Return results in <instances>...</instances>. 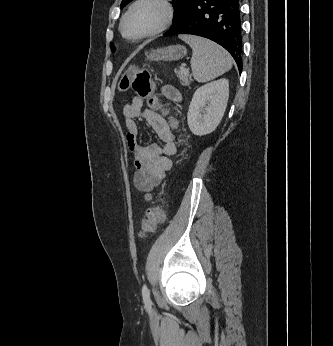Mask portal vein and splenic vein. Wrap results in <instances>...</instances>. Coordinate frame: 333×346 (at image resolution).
<instances>
[{
	"label": "portal vein and splenic vein",
	"instance_id": "18ae733b",
	"mask_svg": "<svg viewBox=\"0 0 333 346\" xmlns=\"http://www.w3.org/2000/svg\"><path fill=\"white\" fill-rule=\"evenodd\" d=\"M184 73H189L188 69L181 68Z\"/></svg>",
	"mask_w": 333,
	"mask_h": 346
}]
</instances>
